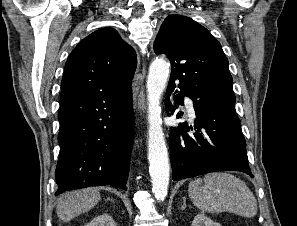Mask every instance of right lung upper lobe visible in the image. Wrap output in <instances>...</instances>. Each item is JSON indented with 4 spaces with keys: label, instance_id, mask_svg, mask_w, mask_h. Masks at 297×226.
I'll use <instances>...</instances> for the list:
<instances>
[{
    "label": "right lung upper lobe",
    "instance_id": "1",
    "mask_svg": "<svg viewBox=\"0 0 297 226\" xmlns=\"http://www.w3.org/2000/svg\"><path fill=\"white\" fill-rule=\"evenodd\" d=\"M135 51L113 28H101L84 38L69 55L60 101L89 93H119L130 88L136 69Z\"/></svg>",
    "mask_w": 297,
    "mask_h": 226
}]
</instances>
